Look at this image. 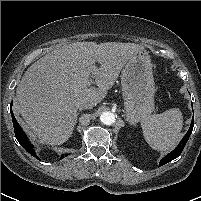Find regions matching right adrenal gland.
I'll return each instance as SVG.
<instances>
[{"mask_svg":"<svg viewBox=\"0 0 201 201\" xmlns=\"http://www.w3.org/2000/svg\"><path fill=\"white\" fill-rule=\"evenodd\" d=\"M79 115V113L77 114V116ZM77 122V118H76V121H75V123Z\"/></svg>","mask_w":201,"mask_h":201,"instance_id":"obj_1","label":"right adrenal gland"}]
</instances>
